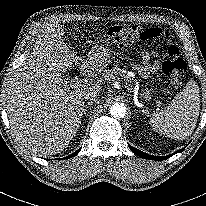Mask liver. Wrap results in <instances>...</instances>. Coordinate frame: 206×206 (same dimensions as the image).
<instances>
[{
    "instance_id": "6515ba94",
    "label": "liver",
    "mask_w": 206,
    "mask_h": 206,
    "mask_svg": "<svg viewBox=\"0 0 206 206\" xmlns=\"http://www.w3.org/2000/svg\"><path fill=\"white\" fill-rule=\"evenodd\" d=\"M63 35L59 24H45L7 91L6 111L12 131L34 154L55 155L66 148L80 126L85 93L99 95L102 90V79L70 89L61 73L77 64L85 72L98 73L109 62L101 48L92 49L87 56L77 55Z\"/></svg>"
}]
</instances>
